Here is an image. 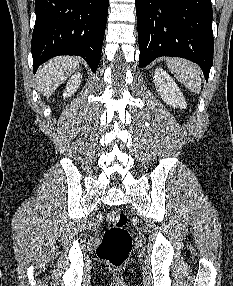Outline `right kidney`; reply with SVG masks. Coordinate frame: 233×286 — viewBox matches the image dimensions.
I'll list each match as a JSON object with an SVG mask.
<instances>
[{
	"mask_svg": "<svg viewBox=\"0 0 233 286\" xmlns=\"http://www.w3.org/2000/svg\"><path fill=\"white\" fill-rule=\"evenodd\" d=\"M82 76L80 73H75L71 76V78L68 80L66 89L63 93L64 98L70 97L74 92L77 90L81 83Z\"/></svg>",
	"mask_w": 233,
	"mask_h": 286,
	"instance_id": "ca27d5eb",
	"label": "right kidney"
}]
</instances>
